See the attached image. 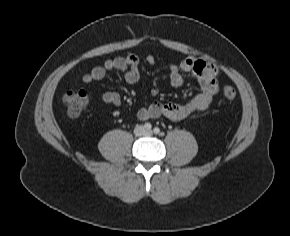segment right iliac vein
Instances as JSON below:
<instances>
[{"label": "right iliac vein", "mask_w": 290, "mask_h": 236, "mask_svg": "<svg viewBox=\"0 0 290 236\" xmlns=\"http://www.w3.org/2000/svg\"><path fill=\"white\" fill-rule=\"evenodd\" d=\"M143 127L139 126L135 129V134H141L143 132Z\"/></svg>", "instance_id": "obj_1"}]
</instances>
